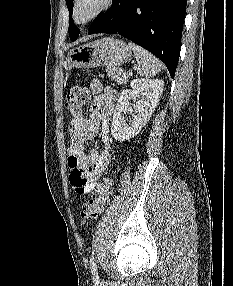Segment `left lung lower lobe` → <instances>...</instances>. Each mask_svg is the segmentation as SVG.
I'll list each match as a JSON object with an SVG mask.
<instances>
[{"mask_svg":"<svg viewBox=\"0 0 233 286\" xmlns=\"http://www.w3.org/2000/svg\"><path fill=\"white\" fill-rule=\"evenodd\" d=\"M187 0H113L99 14L88 34L118 33L165 63L174 78Z\"/></svg>","mask_w":233,"mask_h":286,"instance_id":"obj_1","label":"left lung lower lobe"}]
</instances>
